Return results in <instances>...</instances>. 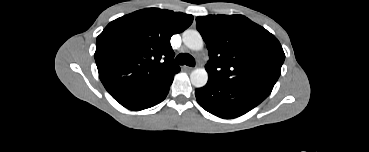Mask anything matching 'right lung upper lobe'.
Segmentation results:
<instances>
[{"label":"right lung upper lobe","instance_id":"right-lung-upper-lobe-1","mask_svg":"<svg viewBox=\"0 0 369 152\" xmlns=\"http://www.w3.org/2000/svg\"><path fill=\"white\" fill-rule=\"evenodd\" d=\"M193 16L159 8L142 9L110 22L97 37L95 61L99 77L114 99L152 86L174 73L170 45Z\"/></svg>","mask_w":369,"mask_h":152}]
</instances>
